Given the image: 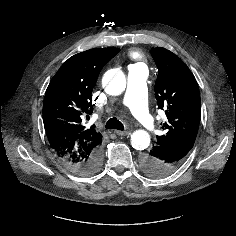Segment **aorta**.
I'll return each instance as SVG.
<instances>
[{"mask_svg":"<svg viewBox=\"0 0 236 236\" xmlns=\"http://www.w3.org/2000/svg\"><path fill=\"white\" fill-rule=\"evenodd\" d=\"M105 92L112 96L120 95L126 88V77L120 69H110L103 76ZM150 144V135L143 129L131 135V145L136 150H144Z\"/></svg>","mask_w":236,"mask_h":236,"instance_id":"obj_1","label":"aorta"}]
</instances>
